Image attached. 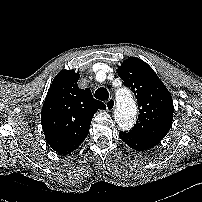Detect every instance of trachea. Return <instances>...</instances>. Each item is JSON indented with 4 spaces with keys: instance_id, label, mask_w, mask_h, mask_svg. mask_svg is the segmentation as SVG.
<instances>
[{
    "instance_id": "1",
    "label": "trachea",
    "mask_w": 202,
    "mask_h": 202,
    "mask_svg": "<svg viewBox=\"0 0 202 202\" xmlns=\"http://www.w3.org/2000/svg\"><path fill=\"white\" fill-rule=\"evenodd\" d=\"M95 98L105 101L109 98V92L106 88L100 87L95 91Z\"/></svg>"
}]
</instances>
